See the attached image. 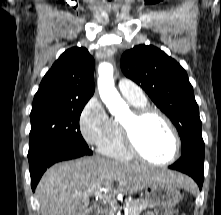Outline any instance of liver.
Wrapping results in <instances>:
<instances>
[{
    "label": "liver",
    "instance_id": "6515ba94",
    "mask_svg": "<svg viewBox=\"0 0 221 215\" xmlns=\"http://www.w3.org/2000/svg\"><path fill=\"white\" fill-rule=\"evenodd\" d=\"M157 180L178 187L191 184L177 172L93 156L55 164L42 176L36 194L41 215H87L91 195L106 197L95 190L134 194Z\"/></svg>",
    "mask_w": 221,
    "mask_h": 215
}]
</instances>
